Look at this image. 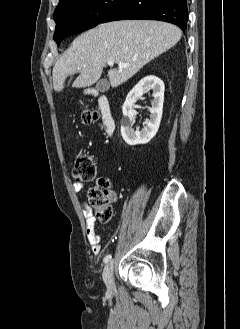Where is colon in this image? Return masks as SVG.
<instances>
[{
	"label": "colon",
	"mask_w": 240,
	"mask_h": 329,
	"mask_svg": "<svg viewBox=\"0 0 240 329\" xmlns=\"http://www.w3.org/2000/svg\"><path fill=\"white\" fill-rule=\"evenodd\" d=\"M99 114L94 109H83L80 119L84 124L97 122ZM97 176L95 160L88 155L76 159L72 168V177L77 183L93 181ZM87 199L89 205L94 209L95 215L101 222H108L113 217L112 200L113 194L110 189V182L107 179H100L98 186L88 191Z\"/></svg>",
	"instance_id": "1"
}]
</instances>
